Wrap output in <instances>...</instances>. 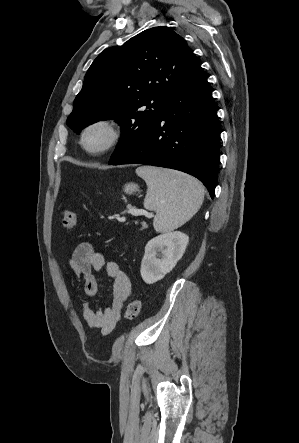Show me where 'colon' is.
<instances>
[{
  "label": "colon",
  "instance_id": "5ec220e1",
  "mask_svg": "<svg viewBox=\"0 0 299 443\" xmlns=\"http://www.w3.org/2000/svg\"><path fill=\"white\" fill-rule=\"evenodd\" d=\"M62 225L65 229L72 231L75 229L77 223V217L73 210L66 208L61 214ZM141 310V303L138 299H134L129 302L126 307L125 317L128 320H133L138 317Z\"/></svg>",
  "mask_w": 299,
  "mask_h": 443
}]
</instances>
